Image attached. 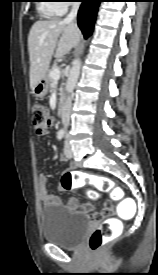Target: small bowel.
<instances>
[{
	"mask_svg": "<svg viewBox=\"0 0 158 275\" xmlns=\"http://www.w3.org/2000/svg\"><path fill=\"white\" fill-rule=\"evenodd\" d=\"M49 131H50V129L48 131H46L45 133H48ZM60 159L62 161L66 160V158L64 156H62ZM74 168H75V165L70 164L68 167V171H71ZM49 183H50V179L48 178L47 175H45L43 173L39 175L38 190H39L40 199H41L42 203L46 206L59 205L61 203L60 199L57 196L52 195L48 192ZM67 206L69 209H71L73 211L84 212V213L90 214L92 217H95V215L97 214V213L93 212V206L91 203L80 204L75 198H69L67 201Z\"/></svg>",
	"mask_w": 158,
	"mask_h": 275,
	"instance_id": "small-bowel-1",
	"label": "small bowel"
}]
</instances>
